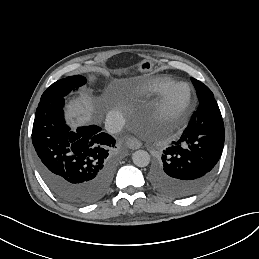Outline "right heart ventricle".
<instances>
[{
	"label": "right heart ventricle",
	"mask_w": 259,
	"mask_h": 259,
	"mask_svg": "<svg viewBox=\"0 0 259 259\" xmlns=\"http://www.w3.org/2000/svg\"><path fill=\"white\" fill-rule=\"evenodd\" d=\"M143 87L140 81L135 80L132 84L123 88V97L127 98L132 104H135Z\"/></svg>",
	"instance_id": "1"
}]
</instances>
